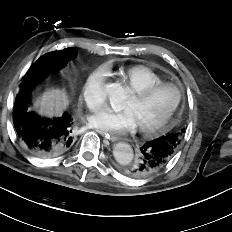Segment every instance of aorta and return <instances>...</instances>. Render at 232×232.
I'll list each match as a JSON object with an SVG mask.
<instances>
[{
    "label": "aorta",
    "instance_id": "762f6f07",
    "mask_svg": "<svg viewBox=\"0 0 232 232\" xmlns=\"http://www.w3.org/2000/svg\"><path fill=\"white\" fill-rule=\"evenodd\" d=\"M106 94L115 111H120L124 108L127 100V91L121 84H108L106 86ZM113 155L119 164L127 165L133 159V150L128 143L118 142L113 147Z\"/></svg>",
    "mask_w": 232,
    "mask_h": 232
}]
</instances>
